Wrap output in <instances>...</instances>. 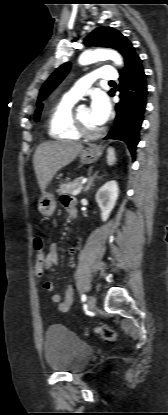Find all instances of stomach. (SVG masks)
Returning a JSON list of instances; mask_svg holds the SVG:
<instances>
[{
  "label": "stomach",
  "instance_id": "obj_1",
  "mask_svg": "<svg viewBox=\"0 0 168 415\" xmlns=\"http://www.w3.org/2000/svg\"><path fill=\"white\" fill-rule=\"evenodd\" d=\"M101 151L96 146H89L83 148L80 153V162L82 164L94 163L100 156ZM56 209V202L54 196L46 191H43L42 196L38 202V210L43 216H51Z\"/></svg>",
  "mask_w": 168,
  "mask_h": 415
}]
</instances>
